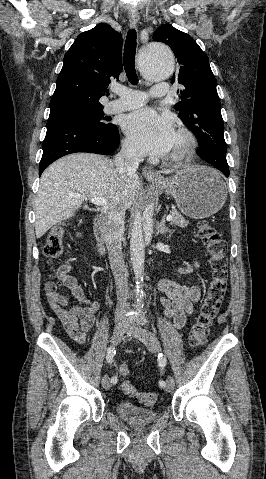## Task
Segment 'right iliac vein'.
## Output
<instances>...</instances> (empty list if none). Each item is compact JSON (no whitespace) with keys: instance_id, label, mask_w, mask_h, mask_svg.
Wrapping results in <instances>:
<instances>
[{"instance_id":"obj_1","label":"right iliac vein","mask_w":266,"mask_h":479,"mask_svg":"<svg viewBox=\"0 0 266 479\" xmlns=\"http://www.w3.org/2000/svg\"><path fill=\"white\" fill-rule=\"evenodd\" d=\"M126 327L127 325L124 322H120L115 325L111 339L113 344H118L121 341L125 333ZM102 386L105 390H109L111 388V381L108 376L103 377Z\"/></svg>"}]
</instances>
